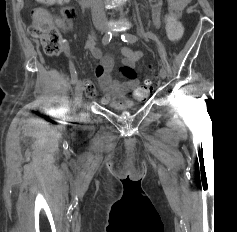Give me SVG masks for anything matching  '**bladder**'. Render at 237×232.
I'll list each match as a JSON object with an SVG mask.
<instances>
[{
    "instance_id": "bladder-1",
    "label": "bladder",
    "mask_w": 237,
    "mask_h": 232,
    "mask_svg": "<svg viewBox=\"0 0 237 232\" xmlns=\"http://www.w3.org/2000/svg\"><path fill=\"white\" fill-rule=\"evenodd\" d=\"M133 106H134V103H125V104L114 103V104H111V107L113 109H128V108H131Z\"/></svg>"
}]
</instances>
